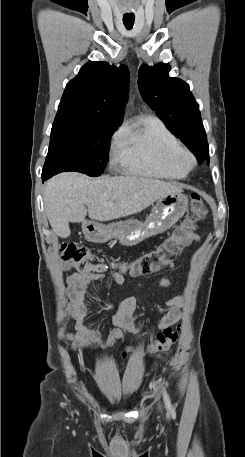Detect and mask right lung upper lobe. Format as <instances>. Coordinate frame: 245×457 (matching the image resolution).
Segmentation results:
<instances>
[{
	"instance_id": "cb5924a9",
	"label": "right lung upper lobe",
	"mask_w": 245,
	"mask_h": 457,
	"mask_svg": "<svg viewBox=\"0 0 245 457\" xmlns=\"http://www.w3.org/2000/svg\"><path fill=\"white\" fill-rule=\"evenodd\" d=\"M129 70L90 61L66 85L57 115L121 121L128 97Z\"/></svg>"
}]
</instances>
